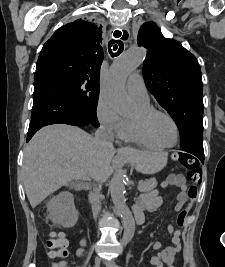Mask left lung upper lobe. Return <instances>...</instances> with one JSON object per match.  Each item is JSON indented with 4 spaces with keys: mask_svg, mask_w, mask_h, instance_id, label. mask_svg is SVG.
<instances>
[{
    "mask_svg": "<svg viewBox=\"0 0 225 267\" xmlns=\"http://www.w3.org/2000/svg\"><path fill=\"white\" fill-rule=\"evenodd\" d=\"M137 42L148 50L146 86L175 121L181 148L203 147V82L197 59L180 42L165 38L153 22L140 27Z\"/></svg>",
    "mask_w": 225,
    "mask_h": 267,
    "instance_id": "left-lung-upper-lobe-1",
    "label": "left lung upper lobe"
}]
</instances>
